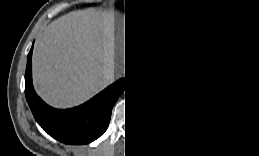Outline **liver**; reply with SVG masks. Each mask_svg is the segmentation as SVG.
I'll list each match as a JSON object with an SVG mask.
<instances>
[{"label":"liver","instance_id":"1","mask_svg":"<svg viewBox=\"0 0 259 156\" xmlns=\"http://www.w3.org/2000/svg\"><path fill=\"white\" fill-rule=\"evenodd\" d=\"M124 62L123 22L76 10L51 22L36 41L33 84L49 105L70 108L102 90L111 72L122 73Z\"/></svg>","mask_w":259,"mask_h":156}]
</instances>
